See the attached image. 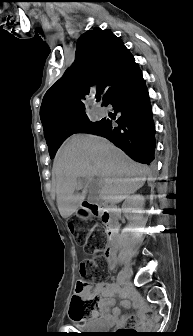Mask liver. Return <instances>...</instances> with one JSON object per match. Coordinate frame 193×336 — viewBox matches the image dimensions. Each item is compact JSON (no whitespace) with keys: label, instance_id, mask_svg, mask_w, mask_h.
<instances>
[{"label":"liver","instance_id":"liver-1","mask_svg":"<svg viewBox=\"0 0 193 336\" xmlns=\"http://www.w3.org/2000/svg\"><path fill=\"white\" fill-rule=\"evenodd\" d=\"M149 172L147 166L134 162L105 138L75 135L60 148L53 165L60 215L68 218L76 212L86 198L88 183L95 176L101 177L99 198L118 203L141 188ZM82 188V193H75Z\"/></svg>","mask_w":193,"mask_h":336}]
</instances>
